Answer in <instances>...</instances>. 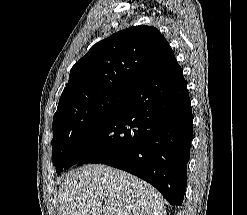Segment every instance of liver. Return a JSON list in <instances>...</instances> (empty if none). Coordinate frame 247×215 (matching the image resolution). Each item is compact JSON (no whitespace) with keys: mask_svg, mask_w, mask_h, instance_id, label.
I'll return each mask as SVG.
<instances>
[{"mask_svg":"<svg viewBox=\"0 0 247 215\" xmlns=\"http://www.w3.org/2000/svg\"><path fill=\"white\" fill-rule=\"evenodd\" d=\"M58 200V215H166L164 199L150 184L102 164L70 171Z\"/></svg>","mask_w":247,"mask_h":215,"instance_id":"6515ba94","label":"liver"}]
</instances>
